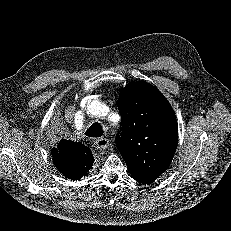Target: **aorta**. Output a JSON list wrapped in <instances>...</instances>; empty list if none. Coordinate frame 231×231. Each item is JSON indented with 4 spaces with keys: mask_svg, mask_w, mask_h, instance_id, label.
Masks as SVG:
<instances>
[{
    "mask_svg": "<svg viewBox=\"0 0 231 231\" xmlns=\"http://www.w3.org/2000/svg\"><path fill=\"white\" fill-rule=\"evenodd\" d=\"M106 106L98 100H91L86 103V110L88 113L100 117L104 114Z\"/></svg>",
    "mask_w": 231,
    "mask_h": 231,
    "instance_id": "762f6f07",
    "label": "aorta"
}]
</instances>
